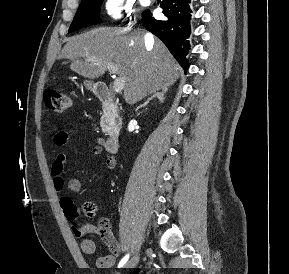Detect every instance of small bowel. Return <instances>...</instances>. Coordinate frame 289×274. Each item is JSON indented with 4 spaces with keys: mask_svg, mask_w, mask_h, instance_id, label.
Masks as SVG:
<instances>
[{
    "mask_svg": "<svg viewBox=\"0 0 289 274\" xmlns=\"http://www.w3.org/2000/svg\"><path fill=\"white\" fill-rule=\"evenodd\" d=\"M75 132L73 130H58L53 136V144L60 148L63 147L71 138ZM98 145L92 148V154L95 156L101 155L103 149L100 146L102 143L101 138L96 139ZM67 161V155L65 153H59L53 160L51 166V177L53 188L56 192H61L65 188V180L63 178V170L65 163ZM115 159L111 155H106L104 161V167L107 170H111L115 167ZM67 187L72 192H79L82 188L81 182L78 179L69 180ZM74 234L78 237L83 236L86 233H98L110 250V254L105 256H100L96 259V266L101 269L110 268L113 266L116 258L120 255L121 247L118 241L115 239L112 232L109 233V237H105L98 231L96 227H88L85 230H78L73 228ZM80 249L86 255H92L96 252V243L90 238H84L80 242Z\"/></svg>",
    "mask_w": 289,
    "mask_h": 274,
    "instance_id": "obj_1",
    "label": "small bowel"
}]
</instances>
